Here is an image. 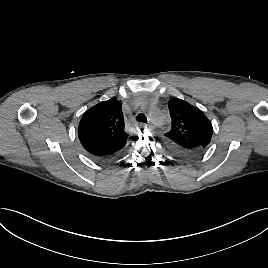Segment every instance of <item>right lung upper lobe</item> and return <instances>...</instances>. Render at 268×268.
Returning a JSON list of instances; mask_svg holds the SVG:
<instances>
[{
  "label": "right lung upper lobe",
  "instance_id": "1",
  "mask_svg": "<svg viewBox=\"0 0 268 268\" xmlns=\"http://www.w3.org/2000/svg\"><path fill=\"white\" fill-rule=\"evenodd\" d=\"M78 137L93 156L115 155L126 145L128 137L121 102L111 98L87 110L79 123Z\"/></svg>",
  "mask_w": 268,
  "mask_h": 268
}]
</instances>
